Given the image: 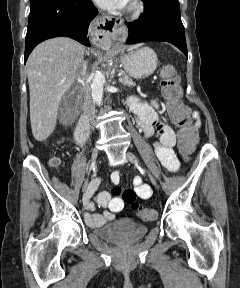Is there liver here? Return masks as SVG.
I'll list each match as a JSON object with an SVG mask.
<instances>
[{"instance_id":"liver-1","label":"liver","mask_w":240,"mask_h":288,"mask_svg":"<svg viewBox=\"0 0 240 288\" xmlns=\"http://www.w3.org/2000/svg\"><path fill=\"white\" fill-rule=\"evenodd\" d=\"M84 53L85 47L77 41L57 37L37 45L29 56L30 121L37 141H45L53 133L59 102L73 85Z\"/></svg>"}]
</instances>
